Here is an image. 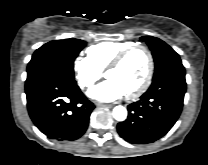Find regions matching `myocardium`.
I'll list each match as a JSON object with an SVG mask.
<instances>
[{"instance_id":"myocardium-1","label":"myocardium","mask_w":208,"mask_h":165,"mask_svg":"<svg viewBox=\"0 0 208 165\" xmlns=\"http://www.w3.org/2000/svg\"><path fill=\"white\" fill-rule=\"evenodd\" d=\"M135 50H143L146 53L147 58H148V69H147L146 76L144 80L142 81V83L133 91L125 94V97L127 99H133V98L140 96L148 89V87L151 84L153 74H154V68H155L154 57H153L151 50L146 45L133 44L125 48L121 52H119L105 68V75H106L108 71L119 67L124 62V60Z\"/></svg>"}]
</instances>
